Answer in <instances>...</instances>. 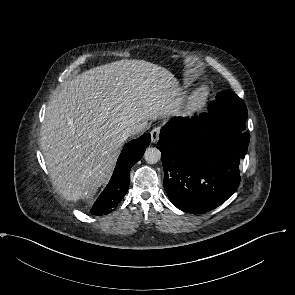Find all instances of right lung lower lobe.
<instances>
[{
    "mask_svg": "<svg viewBox=\"0 0 295 295\" xmlns=\"http://www.w3.org/2000/svg\"><path fill=\"white\" fill-rule=\"evenodd\" d=\"M149 144L150 134L146 133L124 146L107 187L91 209L93 215L108 214L121 202L130 183V169L141 159Z\"/></svg>",
    "mask_w": 295,
    "mask_h": 295,
    "instance_id": "98d812e1",
    "label": "right lung lower lobe"
}]
</instances>
